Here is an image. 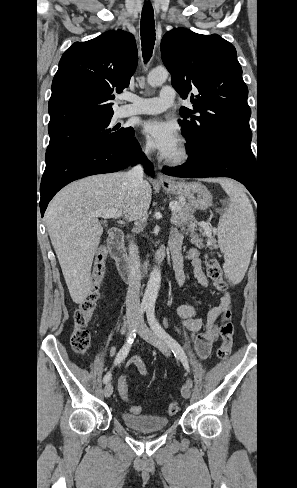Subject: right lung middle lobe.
Returning a JSON list of instances; mask_svg holds the SVG:
<instances>
[{"label": "right lung middle lobe", "mask_w": 297, "mask_h": 488, "mask_svg": "<svg viewBox=\"0 0 297 488\" xmlns=\"http://www.w3.org/2000/svg\"><path fill=\"white\" fill-rule=\"evenodd\" d=\"M111 118L112 116L84 121L49 133L50 143L45 155L46 164L75 147L125 139L134 135L132 127L111 128Z\"/></svg>", "instance_id": "right-lung-middle-lobe-1"}]
</instances>
